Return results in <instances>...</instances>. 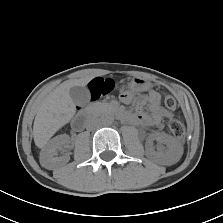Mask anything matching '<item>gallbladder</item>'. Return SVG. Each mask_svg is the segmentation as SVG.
Masks as SVG:
<instances>
[{
  "label": "gallbladder",
  "mask_w": 223,
  "mask_h": 223,
  "mask_svg": "<svg viewBox=\"0 0 223 223\" xmlns=\"http://www.w3.org/2000/svg\"><path fill=\"white\" fill-rule=\"evenodd\" d=\"M69 93L73 102L77 105H85L89 102L90 92L85 86H73Z\"/></svg>",
  "instance_id": "obj_1"
}]
</instances>
